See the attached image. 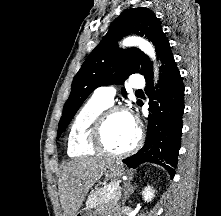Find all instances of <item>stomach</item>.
Returning <instances> with one entry per match:
<instances>
[{"instance_id":"obj_1","label":"stomach","mask_w":221,"mask_h":216,"mask_svg":"<svg viewBox=\"0 0 221 216\" xmlns=\"http://www.w3.org/2000/svg\"><path fill=\"white\" fill-rule=\"evenodd\" d=\"M124 174H125V169L120 162L111 164L105 172L106 177L113 179L114 181L118 180ZM94 214H96V212L88 208L85 211L78 212L76 216H93Z\"/></svg>"}]
</instances>
